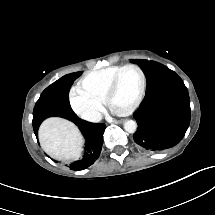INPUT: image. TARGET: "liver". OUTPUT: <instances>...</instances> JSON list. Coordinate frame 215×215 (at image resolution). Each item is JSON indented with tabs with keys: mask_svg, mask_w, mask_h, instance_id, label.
<instances>
[{
	"mask_svg": "<svg viewBox=\"0 0 215 215\" xmlns=\"http://www.w3.org/2000/svg\"><path fill=\"white\" fill-rule=\"evenodd\" d=\"M39 141L42 149L56 160L76 161L83 151L84 139L78 128L58 117L48 118L42 123Z\"/></svg>",
	"mask_w": 215,
	"mask_h": 215,
	"instance_id": "liver-1",
	"label": "liver"
}]
</instances>
